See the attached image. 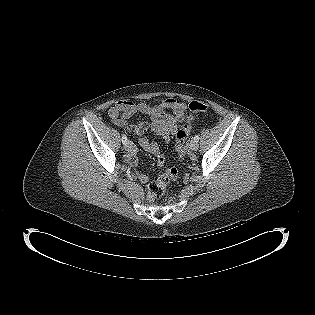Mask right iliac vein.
I'll list each match as a JSON object with an SVG mask.
<instances>
[{"instance_id":"1","label":"right iliac vein","mask_w":315,"mask_h":315,"mask_svg":"<svg viewBox=\"0 0 315 315\" xmlns=\"http://www.w3.org/2000/svg\"><path fill=\"white\" fill-rule=\"evenodd\" d=\"M134 145L132 143V141H127V143L125 144V150L130 152L131 150H133Z\"/></svg>"}]
</instances>
